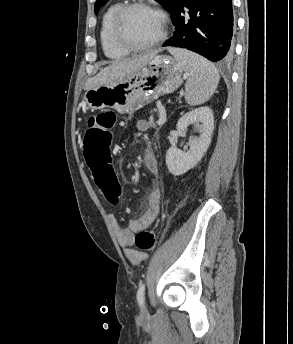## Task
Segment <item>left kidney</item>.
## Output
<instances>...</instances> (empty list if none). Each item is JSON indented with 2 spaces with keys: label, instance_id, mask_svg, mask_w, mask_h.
I'll use <instances>...</instances> for the list:
<instances>
[{
  "label": "left kidney",
  "instance_id": "obj_1",
  "mask_svg": "<svg viewBox=\"0 0 293 344\" xmlns=\"http://www.w3.org/2000/svg\"><path fill=\"white\" fill-rule=\"evenodd\" d=\"M191 124L197 127L200 135L189 142V150L183 152L176 146H171L166 153L167 168L174 176L182 175L196 166L206 153L214 129L212 110L204 106L189 111L180 117L176 128L179 132H184Z\"/></svg>",
  "mask_w": 293,
  "mask_h": 344
}]
</instances>
